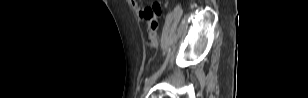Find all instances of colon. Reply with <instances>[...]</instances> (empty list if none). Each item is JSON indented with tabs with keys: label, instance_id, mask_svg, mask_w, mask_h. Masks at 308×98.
<instances>
[{
	"label": "colon",
	"instance_id": "1",
	"mask_svg": "<svg viewBox=\"0 0 308 98\" xmlns=\"http://www.w3.org/2000/svg\"><path fill=\"white\" fill-rule=\"evenodd\" d=\"M160 13H161V6L157 2L139 11V14L141 16L145 15L153 23L148 26V37H149V43L154 47H156L158 44L157 34H156V29H157L156 18L159 16Z\"/></svg>",
	"mask_w": 308,
	"mask_h": 98
}]
</instances>
